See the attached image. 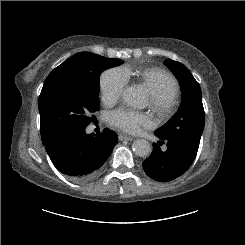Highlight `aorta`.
Masks as SVG:
<instances>
[{
    "label": "aorta",
    "instance_id": "762f6f07",
    "mask_svg": "<svg viewBox=\"0 0 245 245\" xmlns=\"http://www.w3.org/2000/svg\"><path fill=\"white\" fill-rule=\"evenodd\" d=\"M124 101L133 107L144 108L146 104L145 95L140 88L128 87L123 92ZM135 155L139 157H147L151 153V145L145 139L135 140L132 144Z\"/></svg>",
    "mask_w": 245,
    "mask_h": 245
}]
</instances>
